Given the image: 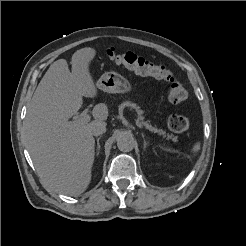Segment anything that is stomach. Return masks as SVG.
Masks as SVG:
<instances>
[{"mask_svg":"<svg viewBox=\"0 0 246 246\" xmlns=\"http://www.w3.org/2000/svg\"><path fill=\"white\" fill-rule=\"evenodd\" d=\"M96 86L107 93H129L132 90L130 82L114 71L105 72L97 81Z\"/></svg>","mask_w":246,"mask_h":246,"instance_id":"obj_1","label":"stomach"}]
</instances>
